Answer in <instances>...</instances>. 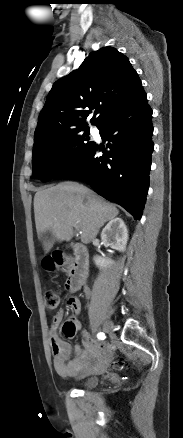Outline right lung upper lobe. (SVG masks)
<instances>
[{"label": "right lung upper lobe", "mask_w": 183, "mask_h": 438, "mask_svg": "<svg viewBox=\"0 0 183 438\" xmlns=\"http://www.w3.org/2000/svg\"><path fill=\"white\" fill-rule=\"evenodd\" d=\"M144 93L141 80L125 55L113 47L93 51L78 70L54 83L40 112L34 141L87 127L85 122L91 109H95V114L90 122L98 126L115 110ZM86 107L90 110H84Z\"/></svg>", "instance_id": "cb5924a9"}]
</instances>
